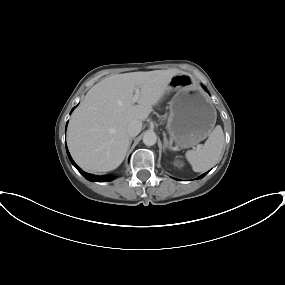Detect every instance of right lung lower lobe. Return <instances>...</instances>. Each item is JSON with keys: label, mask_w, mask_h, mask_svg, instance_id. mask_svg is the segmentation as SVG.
I'll use <instances>...</instances> for the list:
<instances>
[{"label": "right lung lower lobe", "mask_w": 285, "mask_h": 285, "mask_svg": "<svg viewBox=\"0 0 285 285\" xmlns=\"http://www.w3.org/2000/svg\"><path fill=\"white\" fill-rule=\"evenodd\" d=\"M74 109V108H73ZM72 109V111H73ZM66 150H67V154H68V157L71 161V163L75 166V168L89 181H93V182H105V181H112L114 178L112 176H109V175H102V176H97V175H93V174H89V173H86L84 171H82L76 164L75 162L72 160L70 154H69V151L67 149V146H66Z\"/></svg>", "instance_id": "obj_1"}]
</instances>
